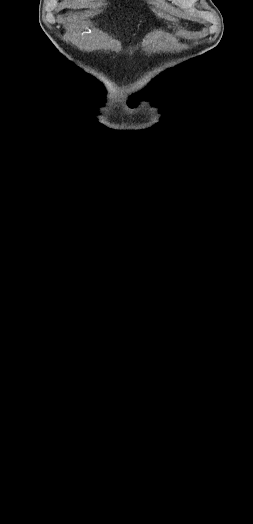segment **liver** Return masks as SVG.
<instances>
[{"instance_id":"6515ba94","label":"liver","mask_w":253,"mask_h":524,"mask_svg":"<svg viewBox=\"0 0 253 524\" xmlns=\"http://www.w3.org/2000/svg\"><path fill=\"white\" fill-rule=\"evenodd\" d=\"M71 20H72V21H76V20H77V17H76V16H73Z\"/></svg>"}]
</instances>
